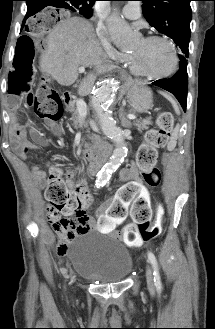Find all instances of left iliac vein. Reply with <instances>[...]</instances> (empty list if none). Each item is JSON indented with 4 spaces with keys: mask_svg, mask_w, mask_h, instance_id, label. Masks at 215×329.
Returning a JSON list of instances; mask_svg holds the SVG:
<instances>
[{
    "mask_svg": "<svg viewBox=\"0 0 215 329\" xmlns=\"http://www.w3.org/2000/svg\"><path fill=\"white\" fill-rule=\"evenodd\" d=\"M146 279H147V285L151 292L154 291V277L152 269L149 265L146 267Z\"/></svg>",
    "mask_w": 215,
    "mask_h": 329,
    "instance_id": "1",
    "label": "left iliac vein"
}]
</instances>
